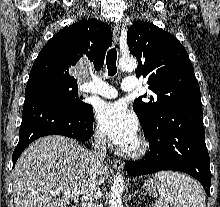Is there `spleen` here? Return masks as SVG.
Segmentation results:
<instances>
[{
  "label": "spleen",
  "instance_id": "spleen-1",
  "mask_svg": "<svg viewBox=\"0 0 220 207\" xmlns=\"http://www.w3.org/2000/svg\"><path fill=\"white\" fill-rule=\"evenodd\" d=\"M160 198L155 207H206L202 187L190 176L172 171L155 174Z\"/></svg>",
  "mask_w": 220,
  "mask_h": 207
}]
</instances>
